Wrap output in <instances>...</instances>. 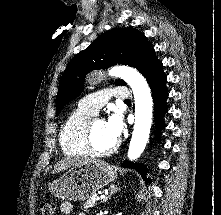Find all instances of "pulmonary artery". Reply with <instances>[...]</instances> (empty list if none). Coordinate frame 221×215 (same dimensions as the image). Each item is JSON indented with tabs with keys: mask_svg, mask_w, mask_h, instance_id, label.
I'll list each match as a JSON object with an SVG mask.
<instances>
[{
	"mask_svg": "<svg viewBox=\"0 0 221 215\" xmlns=\"http://www.w3.org/2000/svg\"><path fill=\"white\" fill-rule=\"evenodd\" d=\"M127 99L129 92L125 87H116L113 89H104L92 94L87 95L79 102V107L96 114L111 98Z\"/></svg>",
	"mask_w": 221,
	"mask_h": 215,
	"instance_id": "e3ab8cb5",
	"label": "pulmonary artery"
}]
</instances>
